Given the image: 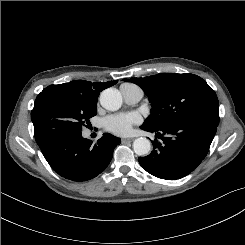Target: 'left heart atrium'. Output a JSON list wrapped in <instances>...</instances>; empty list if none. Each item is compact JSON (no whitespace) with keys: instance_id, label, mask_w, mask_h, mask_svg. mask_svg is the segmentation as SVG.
Listing matches in <instances>:
<instances>
[{"instance_id":"left-heart-atrium-1","label":"left heart atrium","mask_w":245,"mask_h":245,"mask_svg":"<svg viewBox=\"0 0 245 245\" xmlns=\"http://www.w3.org/2000/svg\"><path fill=\"white\" fill-rule=\"evenodd\" d=\"M139 122V116L134 113H119L105 117L102 124L106 131L124 136L129 134L132 126Z\"/></svg>"}]
</instances>
